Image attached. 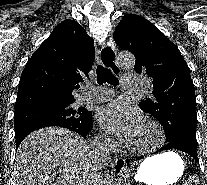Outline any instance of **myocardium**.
I'll use <instances>...</instances> for the list:
<instances>
[{"label":"myocardium","instance_id":"obj_1","mask_svg":"<svg viewBox=\"0 0 207 185\" xmlns=\"http://www.w3.org/2000/svg\"><path fill=\"white\" fill-rule=\"evenodd\" d=\"M145 123L148 124L149 126L153 127L161 139H164L166 137V132H165L163 126L158 121L152 120V119H147L145 121ZM125 145H126V148L131 153L136 154V155H145L148 152L146 149H138V148L134 147L129 140L126 141Z\"/></svg>","mask_w":207,"mask_h":185}]
</instances>
